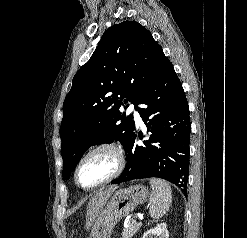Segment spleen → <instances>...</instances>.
<instances>
[{
	"label": "spleen",
	"mask_w": 247,
	"mask_h": 238,
	"mask_svg": "<svg viewBox=\"0 0 247 238\" xmlns=\"http://www.w3.org/2000/svg\"><path fill=\"white\" fill-rule=\"evenodd\" d=\"M150 185L152 192L150 195V216L160 219L169 210L172 202V191L169 184L158 178H151Z\"/></svg>",
	"instance_id": "1"
}]
</instances>
